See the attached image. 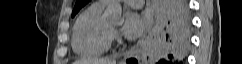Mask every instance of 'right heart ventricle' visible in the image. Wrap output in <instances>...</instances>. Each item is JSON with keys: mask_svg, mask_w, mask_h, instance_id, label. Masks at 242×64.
<instances>
[{"mask_svg": "<svg viewBox=\"0 0 242 64\" xmlns=\"http://www.w3.org/2000/svg\"><path fill=\"white\" fill-rule=\"evenodd\" d=\"M105 6L93 3L76 19L71 36L75 54L82 58L101 56L110 45L111 28L103 16Z\"/></svg>", "mask_w": 242, "mask_h": 64, "instance_id": "e07e8e85", "label": "right heart ventricle"}]
</instances>
